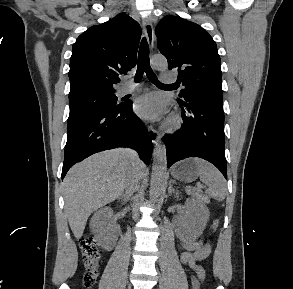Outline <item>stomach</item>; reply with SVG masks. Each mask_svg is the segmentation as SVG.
<instances>
[{
  "label": "stomach",
  "mask_w": 293,
  "mask_h": 289,
  "mask_svg": "<svg viewBox=\"0 0 293 289\" xmlns=\"http://www.w3.org/2000/svg\"><path fill=\"white\" fill-rule=\"evenodd\" d=\"M172 176L181 182H192L199 176V169L192 158L175 164L171 172Z\"/></svg>",
  "instance_id": "1"
}]
</instances>
